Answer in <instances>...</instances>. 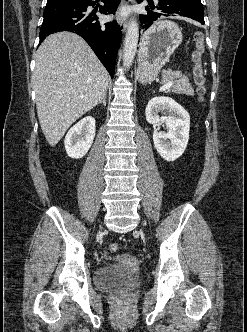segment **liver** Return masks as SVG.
Returning a JSON list of instances; mask_svg holds the SVG:
<instances>
[{
    "label": "liver",
    "mask_w": 247,
    "mask_h": 332,
    "mask_svg": "<svg viewBox=\"0 0 247 332\" xmlns=\"http://www.w3.org/2000/svg\"><path fill=\"white\" fill-rule=\"evenodd\" d=\"M35 58L37 114L53 147L73 122L103 100L109 75L88 44L70 32L47 37Z\"/></svg>",
    "instance_id": "obj_1"
}]
</instances>
